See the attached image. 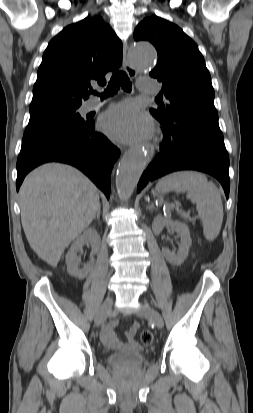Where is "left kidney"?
<instances>
[{
    "label": "left kidney",
    "mask_w": 253,
    "mask_h": 413,
    "mask_svg": "<svg viewBox=\"0 0 253 413\" xmlns=\"http://www.w3.org/2000/svg\"><path fill=\"white\" fill-rule=\"evenodd\" d=\"M164 227H170L173 231L177 232L181 237V243L177 254H174L169 249L163 248L162 253L165 259L173 265H181L187 258L189 248L192 244L190 232L188 226L179 221H172L162 216H156L152 223V229L155 234L162 232Z\"/></svg>",
    "instance_id": "5707ae66"
}]
</instances>
